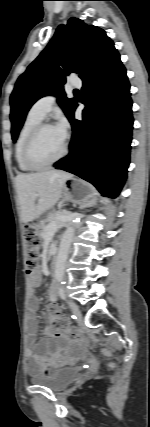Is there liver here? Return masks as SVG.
I'll list each match as a JSON object with an SVG mask.
<instances>
[{
    "label": "liver",
    "mask_w": 150,
    "mask_h": 427,
    "mask_svg": "<svg viewBox=\"0 0 150 427\" xmlns=\"http://www.w3.org/2000/svg\"><path fill=\"white\" fill-rule=\"evenodd\" d=\"M71 177L67 172L55 170L19 174L16 186L22 221H33L52 208L62 196L64 182Z\"/></svg>",
    "instance_id": "1"
}]
</instances>
